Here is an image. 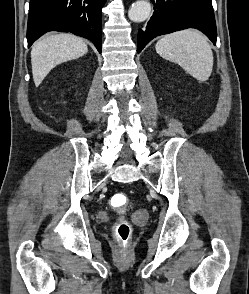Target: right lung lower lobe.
Listing matches in <instances>:
<instances>
[{
	"instance_id": "1",
	"label": "right lung lower lobe",
	"mask_w": 249,
	"mask_h": 294,
	"mask_svg": "<svg viewBox=\"0 0 249 294\" xmlns=\"http://www.w3.org/2000/svg\"><path fill=\"white\" fill-rule=\"evenodd\" d=\"M106 0H30L28 47L48 31L71 32L91 40L101 53L102 8Z\"/></svg>"
}]
</instances>
